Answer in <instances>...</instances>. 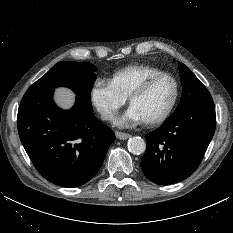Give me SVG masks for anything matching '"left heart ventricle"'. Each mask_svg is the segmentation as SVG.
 I'll use <instances>...</instances> for the list:
<instances>
[{
  "instance_id": "1",
  "label": "left heart ventricle",
  "mask_w": 233,
  "mask_h": 233,
  "mask_svg": "<svg viewBox=\"0 0 233 233\" xmlns=\"http://www.w3.org/2000/svg\"><path fill=\"white\" fill-rule=\"evenodd\" d=\"M174 90V83L170 78H161L144 95L136 98L131 106L141 114L144 121L157 118L167 109Z\"/></svg>"
}]
</instances>
